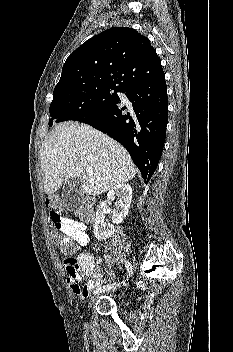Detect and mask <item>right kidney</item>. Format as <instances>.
I'll return each mask as SVG.
<instances>
[{
	"label": "right kidney",
	"mask_w": 233,
	"mask_h": 352,
	"mask_svg": "<svg viewBox=\"0 0 233 352\" xmlns=\"http://www.w3.org/2000/svg\"><path fill=\"white\" fill-rule=\"evenodd\" d=\"M117 198V201L114 200ZM132 200V188L129 184H119L110 190L107 194L108 203L114 202L115 208L112 211V221L114 224L121 223L127 216ZM104 203L96 212V220L94 224V235L98 241H104L111 237L114 233V225L104 221Z\"/></svg>",
	"instance_id": "right-kidney-1"
}]
</instances>
